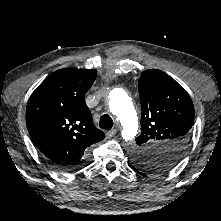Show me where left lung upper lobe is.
Masks as SVG:
<instances>
[{
    "mask_svg": "<svg viewBox=\"0 0 221 221\" xmlns=\"http://www.w3.org/2000/svg\"><path fill=\"white\" fill-rule=\"evenodd\" d=\"M138 86L142 112L135 163L161 174L177 165L190 143L194 106L185 89L160 70L143 71Z\"/></svg>",
    "mask_w": 221,
    "mask_h": 221,
    "instance_id": "5c2ea615",
    "label": "left lung upper lobe"
}]
</instances>
